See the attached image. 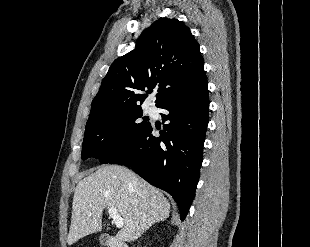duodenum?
I'll return each mask as SVG.
<instances>
[{
	"instance_id": "1",
	"label": "duodenum",
	"mask_w": 310,
	"mask_h": 247,
	"mask_svg": "<svg viewBox=\"0 0 310 247\" xmlns=\"http://www.w3.org/2000/svg\"><path fill=\"white\" fill-rule=\"evenodd\" d=\"M103 240L107 247H128L125 243L110 235H105Z\"/></svg>"
}]
</instances>
